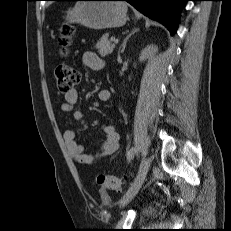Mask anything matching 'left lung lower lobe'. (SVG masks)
<instances>
[{"instance_id":"1","label":"left lung lower lobe","mask_w":231,"mask_h":231,"mask_svg":"<svg viewBox=\"0 0 231 231\" xmlns=\"http://www.w3.org/2000/svg\"><path fill=\"white\" fill-rule=\"evenodd\" d=\"M76 1V0H61ZM127 1L144 15L161 22L175 34L180 8L189 0H121Z\"/></svg>"}]
</instances>
